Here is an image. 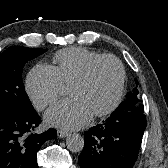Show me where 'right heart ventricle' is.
I'll return each mask as SVG.
<instances>
[{
	"label": "right heart ventricle",
	"mask_w": 168,
	"mask_h": 168,
	"mask_svg": "<svg viewBox=\"0 0 168 168\" xmlns=\"http://www.w3.org/2000/svg\"><path fill=\"white\" fill-rule=\"evenodd\" d=\"M100 55L102 54L99 52L83 47L66 48L55 54L54 68L57 70L63 84L68 85L83 71L91 60Z\"/></svg>",
	"instance_id": "e07e8e85"
}]
</instances>
